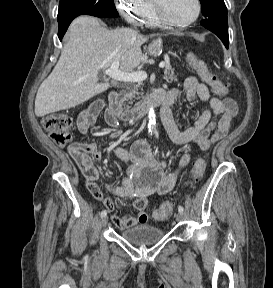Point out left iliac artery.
<instances>
[{
	"instance_id": "left-iliac-artery-1",
	"label": "left iliac artery",
	"mask_w": 273,
	"mask_h": 288,
	"mask_svg": "<svg viewBox=\"0 0 273 288\" xmlns=\"http://www.w3.org/2000/svg\"><path fill=\"white\" fill-rule=\"evenodd\" d=\"M178 211H179V212H183V211H184L183 206L180 205V206L178 207Z\"/></svg>"
}]
</instances>
